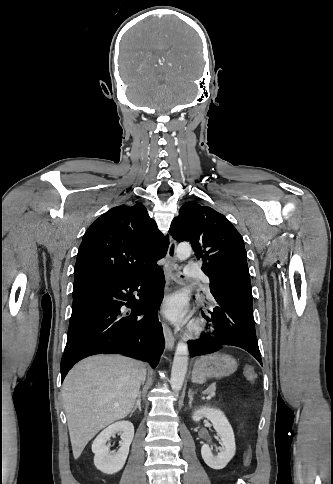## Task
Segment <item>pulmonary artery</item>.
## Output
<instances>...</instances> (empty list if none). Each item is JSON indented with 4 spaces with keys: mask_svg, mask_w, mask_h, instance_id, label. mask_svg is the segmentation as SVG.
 Wrapping results in <instances>:
<instances>
[{
    "mask_svg": "<svg viewBox=\"0 0 333 484\" xmlns=\"http://www.w3.org/2000/svg\"><path fill=\"white\" fill-rule=\"evenodd\" d=\"M185 274L187 276L199 277L206 287H208L210 283L209 278L205 276L196 265H187L185 268Z\"/></svg>",
    "mask_w": 333,
    "mask_h": 484,
    "instance_id": "obj_1",
    "label": "pulmonary artery"
}]
</instances>
